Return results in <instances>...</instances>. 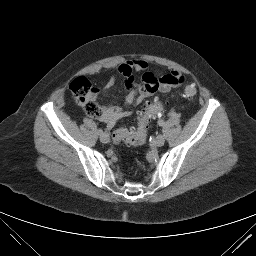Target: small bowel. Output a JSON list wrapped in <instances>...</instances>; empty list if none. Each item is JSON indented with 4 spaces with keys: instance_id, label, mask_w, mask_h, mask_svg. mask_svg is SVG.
I'll use <instances>...</instances> for the list:
<instances>
[{
    "instance_id": "small-bowel-1",
    "label": "small bowel",
    "mask_w": 256,
    "mask_h": 256,
    "mask_svg": "<svg viewBox=\"0 0 256 256\" xmlns=\"http://www.w3.org/2000/svg\"><path fill=\"white\" fill-rule=\"evenodd\" d=\"M148 64L141 59L125 61L118 67V72L124 80L126 93L124 102L126 106H135L142 103L147 97L157 93H167L173 88L179 87L184 82L183 75L178 71H171L162 77L157 78L147 70ZM141 72V82L137 83L134 73ZM115 83L114 78H110L106 83L104 91L109 90ZM131 112L119 106H105L102 109L101 121L107 127L112 128L116 123L128 117Z\"/></svg>"
}]
</instances>
